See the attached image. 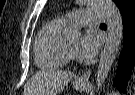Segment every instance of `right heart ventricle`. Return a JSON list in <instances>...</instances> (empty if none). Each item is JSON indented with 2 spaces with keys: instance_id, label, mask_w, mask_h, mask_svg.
<instances>
[{
  "instance_id": "1",
  "label": "right heart ventricle",
  "mask_w": 135,
  "mask_h": 95,
  "mask_svg": "<svg viewBox=\"0 0 135 95\" xmlns=\"http://www.w3.org/2000/svg\"><path fill=\"white\" fill-rule=\"evenodd\" d=\"M67 27L62 19L48 21L41 27L34 43V58L38 67L55 69L66 64L62 35Z\"/></svg>"
}]
</instances>
